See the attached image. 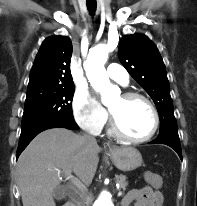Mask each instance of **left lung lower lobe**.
I'll use <instances>...</instances> for the list:
<instances>
[{"mask_svg": "<svg viewBox=\"0 0 197 206\" xmlns=\"http://www.w3.org/2000/svg\"><path fill=\"white\" fill-rule=\"evenodd\" d=\"M150 144H165L173 148L182 160L181 146L179 137L176 136H161L150 142Z\"/></svg>", "mask_w": 197, "mask_h": 206, "instance_id": "left-lung-lower-lobe-1", "label": "left lung lower lobe"}]
</instances>
